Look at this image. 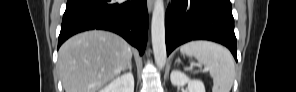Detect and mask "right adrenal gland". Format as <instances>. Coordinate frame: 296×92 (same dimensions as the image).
Masks as SVG:
<instances>
[{"label":"right adrenal gland","instance_id":"1","mask_svg":"<svg viewBox=\"0 0 296 92\" xmlns=\"http://www.w3.org/2000/svg\"><path fill=\"white\" fill-rule=\"evenodd\" d=\"M129 69V71L130 72H132V63L130 62L129 64H128V66L125 68V70H128Z\"/></svg>","mask_w":296,"mask_h":92}]
</instances>
